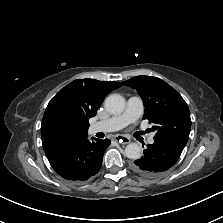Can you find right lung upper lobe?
<instances>
[{"label": "right lung upper lobe", "instance_id": "obj_1", "mask_svg": "<svg viewBox=\"0 0 223 223\" xmlns=\"http://www.w3.org/2000/svg\"><path fill=\"white\" fill-rule=\"evenodd\" d=\"M115 81L77 79L61 89L49 102L41 125L45 153L87 137L89 119L104 97L121 87Z\"/></svg>", "mask_w": 223, "mask_h": 223}]
</instances>
